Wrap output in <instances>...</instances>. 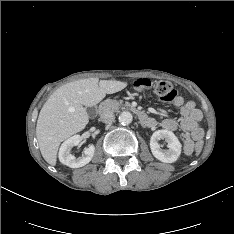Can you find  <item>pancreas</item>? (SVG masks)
<instances>
[{"label":"pancreas","mask_w":234,"mask_h":234,"mask_svg":"<svg viewBox=\"0 0 234 234\" xmlns=\"http://www.w3.org/2000/svg\"><path fill=\"white\" fill-rule=\"evenodd\" d=\"M123 105L130 106L128 102L123 104L122 102H117L116 100H111V99H107L102 103V107L112 112L118 111V109Z\"/></svg>","instance_id":"obj_1"}]
</instances>
